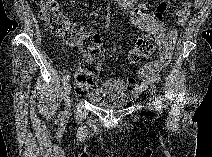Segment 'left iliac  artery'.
<instances>
[{
  "mask_svg": "<svg viewBox=\"0 0 212 157\" xmlns=\"http://www.w3.org/2000/svg\"><path fill=\"white\" fill-rule=\"evenodd\" d=\"M154 95V99H155V106L157 109H161V98L160 96L157 94V92L154 90L153 92Z\"/></svg>",
  "mask_w": 212,
  "mask_h": 157,
  "instance_id": "left-iliac-artery-1",
  "label": "left iliac artery"
}]
</instances>
